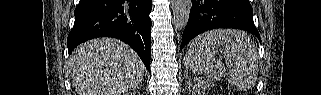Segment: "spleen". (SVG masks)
I'll use <instances>...</instances> for the list:
<instances>
[{"instance_id":"1","label":"spleen","mask_w":321,"mask_h":95,"mask_svg":"<svg viewBox=\"0 0 321 95\" xmlns=\"http://www.w3.org/2000/svg\"><path fill=\"white\" fill-rule=\"evenodd\" d=\"M236 38L231 42L229 37ZM222 52L230 63L228 82L244 91L254 87L258 76L257 49L250 37L241 31H211L193 40L184 57V65L193 73L210 74L219 80L226 68L219 64L214 54Z\"/></svg>"}]
</instances>
